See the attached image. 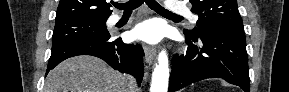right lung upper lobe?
Returning <instances> with one entry per match:
<instances>
[{
    "label": "right lung upper lobe",
    "instance_id": "cb5924a9",
    "mask_svg": "<svg viewBox=\"0 0 289 92\" xmlns=\"http://www.w3.org/2000/svg\"><path fill=\"white\" fill-rule=\"evenodd\" d=\"M110 7L106 0H60L55 22L76 19L106 21L112 13Z\"/></svg>",
    "mask_w": 289,
    "mask_h": 92
}]
</instances>
